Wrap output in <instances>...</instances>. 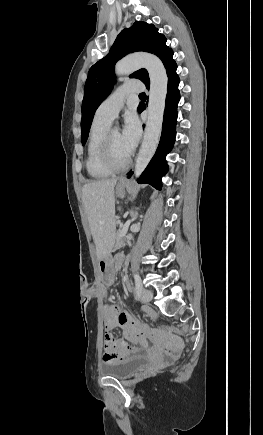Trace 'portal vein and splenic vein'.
<instances>
[{
  "mask_svg": "<svg viewBox=\"0 0 263 435\" xmlns=\"http://www.w3.org/2000/svg\"><path fill=\"white\" fill-rule=\"evenodd\" d=\"M130 223H131V221L128 220V221L123 225V228L121 229V231H120V233H119V236L123 237V236L126 235V233H127V231H128V228H129V226H130Z\"/></svg>",
  "mask_w": 263,
  "mask_h": 435,
  "instance_id": "1",
  "label": "portal vein and splenic vein"
}]
</instances>
